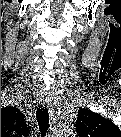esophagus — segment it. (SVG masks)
<instances>
[{
    "label": "esophagus",
    "mask_w": 121,
    "mask_h": 137,
    "mask_svg": "<svg viewBox=\"0 0 121 137\" xmlns=\"http://www.w3.org/2000/svg\"><path fill=\"white\" fill-rule=\"evenodd\" d=\"M40 102L42 107L49 104V97L47 96V93H45V96L40 98Z\"/></svg>",
    "instance_id": "34e87169"
}]
</instances>
